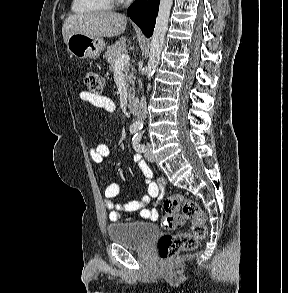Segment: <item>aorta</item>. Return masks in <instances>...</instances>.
<instances>
[{"label":"aorta","mask_w":288,"mask_h":293,"mask_svg":"<svg viewBox=\"0 0 288 293\" xmlns=\"http://www.w3.org/2000/svg\"><path fill=\"white\" fill-rule=\"evenodd\" d=\"M173 0H161L159 11L156 18L154 32L150 44V56L146 68L147 79L150 80L159 64L161 52L164 47L165 34L168 28V22ZM137 126L142 128L143 123L137 122Z\"/></svg>","instance_id":"1"}]
</instances>
